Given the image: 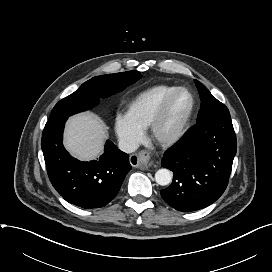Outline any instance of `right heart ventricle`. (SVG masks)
<instances>
[{"mask_svg":"<svg viewBox=\"0 0 272 272\" xmlns=\"http://www.w3.org/2000/svg\"><path fill=\"white\" fill-rule=\"evenodd\" d=\"M176 88V85L159 84L140 92L128 104L126 114L138 127L147 129L163 101Z\"/></svg>","mask_w":272,"mask_h":272,"instance_id":"1","label":"right heart ventricle"}]
</instances>
